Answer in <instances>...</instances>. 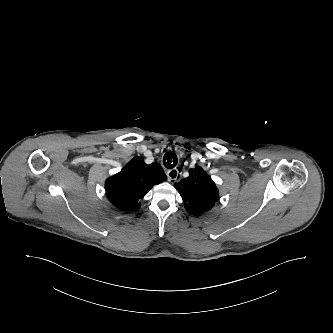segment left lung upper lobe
I'll return each mask as SVG.
<instances>
[{
  "instance_id": "left-lung-upper-lobe-1",
  "label": "left lung upper lobe",
  "mask_w": 333,
  "mask_h": 333,
  "mask_svg": "<svg viewBox=\"0 0 333 333\" xmlns=\"http://www.w3.org/2000/svg\"><path fill=\"white\" fill-rule=\"evenodd\" d=\"M175 188L180 193L185 209L190 214L210 210L218 201V189L209 175L201 168L190 169L189 177L182 179Z\"/></svg>"
}]
</instances>
